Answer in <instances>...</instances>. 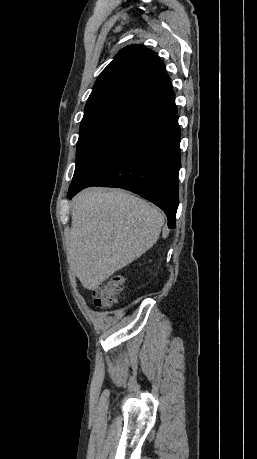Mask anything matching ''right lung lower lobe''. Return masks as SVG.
<instances>
[{"mask_svg": "<svg viewBox=\"0 0 257 459\" xmlns=\"http://www.w3.org/2000/svg\"><path fill=\"white\" fill-rule=\"evenodd\" d=\"M180 128L170 91L127 119L108 145L73 176L71 198L89 186L119 187L153 202L175 227L179 204Z\"/></svg>", "mask_w": 257, "mask_h": 459, "instance_id": "98d812e1", "label": "right lung lower lobe"}]
</instances>
